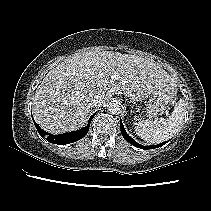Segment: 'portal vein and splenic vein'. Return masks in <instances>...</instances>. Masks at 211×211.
<instances>
[{"mask_svg": "<svg viewBox=\"0 0 211 211\" xmlns=\"http://www.w3.org/2000/svg\"><path fill=\"white\" fill-rule=\"evenodd\" d=\"M113 79H118V75L112 76Z\"/></svg>", "mask_w": 211, "mask_h": 211, "instance_id": "portal-vein-and-splenic-vein-1", "label": "portal vein and splenic vein"}]
</instances>
